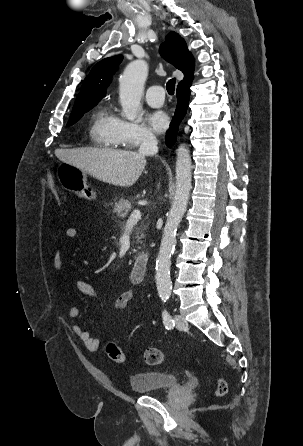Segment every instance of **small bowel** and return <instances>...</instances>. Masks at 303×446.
Here are the masks:
<instances>
[{
    "label": "small bowel",
    "mask_w": 303,
    "mask_h": 446,
    "mask_svg": "<svg viewBox=\"0 0 303 446\" xmlns=\"http://www.w3.org/2000/svg\"><path fill=\"white\" fill-rule=\"evenodd\" d=\"M65 235L69 239H74L79 235V231L74 227H70L66 229ZM53 267L55 271L58 273H61L63 270V260L61 253L59 251H57L53 256ZM75 285L76 289L81 294L96 299L98 302H100L102 307L104 306L105 302L103 296L92 284H90L85 280H77ZM133 296H134L133 290H127L122 292L115 300L114 304L115 308L120 311L124 310L129 304V302L132 300ZM68 313L70 318L72 319H77L79 317V309L74 305H71L69 307ZM72 329L73 332L76 334V336L83 342L84 346L88 351L91 352L98 351L99 341L98 339L92 337L89 331L84 329L79 324H74Z\"/></svg>",
    "instance_id": "obj_1"
}]
</instances>
